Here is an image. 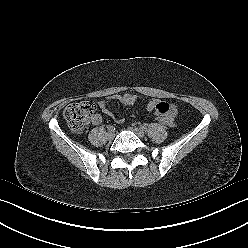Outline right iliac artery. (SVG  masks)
<instances>
[{
  "mask_svg": "<svg viewBox=\"0 0 248 248\" xmlns=\"http://www.w3.org/2000/svg\"><path fill=\"white\" fill-rule=\"evenodd\" d=\"M107 130L108 131H114L115 130V127L113 125H108L107 126Z\"/></svg>",
  "mask_w": 248,
  "mask_h": 248,
  "instance_id": "obj_1",
  "label": "right iliac artery"
}]
</instances>
